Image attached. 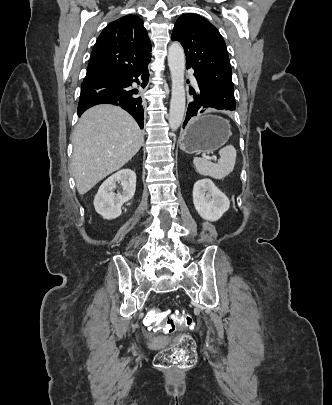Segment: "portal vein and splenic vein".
Returning a JSON list of instances; mask_svg holds the SVG:
<instances>
[{
  "label": "portal vein and splenic vein",
  "instance_id": "18ae733b",
  "mask_svg": "<svg viewBox=\"0 0 332 405\" xmlns=\"http://www.w3.org/2000/svg\"><path fill=\"white\" fill-rule=\"evenodd\" d=\"M207 160H214L212 157H206Z\"/></svg>",
  "mask_w": 332,
  "mask_h": 405
}]
</instances>
